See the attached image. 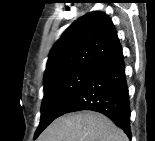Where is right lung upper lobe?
Returning <instances> with one entry per match:
<instances>
[{"mask_svg": "<svg viewBox=\"0 0 155 141\" xmlns=\"http://www.w3.org/2000/svg\"><path fill=\"white\" fill-rule=\"evenodd\" d=\"M119 43L115 27L103 12H90L63 33L50 51L44 80L74 68H96Z\"/></svg>", "mask_w": 155, "mask_h": 141, "instance_id": "obj_1", "label": "right lung upper lobe"}]
</instances>
